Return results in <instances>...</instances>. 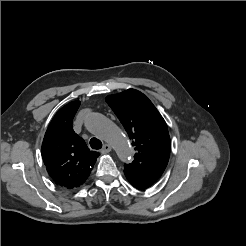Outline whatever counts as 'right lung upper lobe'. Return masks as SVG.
Instances as JSON below:
<instances>
[{"label": "right lung upper lobe", "instance_id": "right-lung-upper-lobe-1", "mask_svg": "<svg viewBox=\"0 0 246 246\" xmlns=\"http://www.w3.org/2000/svg\"><path fill=\"white\" fill-rule=\"evenodd\" d=\"M80 101L62 107L45 133L41 153L53 181L68 189L78 187L88 178L98 152L90 151L73 130L72 122Z\"/></svg>", "mask_w": 246, "mask_h": 246}]
</instances>
